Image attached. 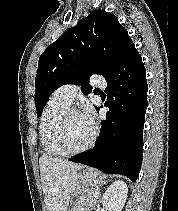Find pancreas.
<instances>
[{"label": "pancreas", "mask_w": 178, "mask_h": 211, "mask_svg": "<svg viewBox=\"0 0 178 211\" xmlns=\"http://www.w3.org/2000/svg\"><path fill=\"white\" fill-rule=\"evenodd\" d=\"M96 193L95 189L84 191L80 196L73 202L72 211H90L96 205L97 199L94 197Z\"/></svg>", "instance_id": "1"}]
</instances>
